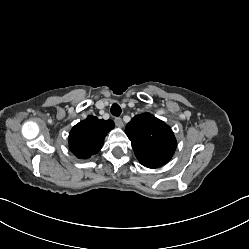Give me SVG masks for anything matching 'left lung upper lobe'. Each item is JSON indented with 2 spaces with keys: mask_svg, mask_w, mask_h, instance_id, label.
Returning <instances> with one entry per match:
<instances>
[{
  "mask_svg": "<svg viewBox=\"0 0 249 249\" xmlns=\"http://www.w3.org/2000/svg\"><path fill=\"white\" fill-rule=\"evenodd\" d=\"M125 133L131 140L137 159L148 168L165 165L177 147L172 129L150 113L134 116Z\"/></svg>",
  "mask_w": 249,
  "mask_h": 249,
  "instance_id": "obj_1",
  "label": "left lung upper lobe"
}]
</instances>
